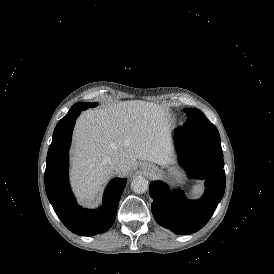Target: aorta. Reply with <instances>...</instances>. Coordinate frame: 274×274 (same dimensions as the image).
<instances>
[{
  "label": "aorta",
  "instance_id": "aorta-1",
  "mask_svg": "<svg viewBox=\"0 0 274 274\" xmlns=\"http://www.w3.org/2000/svg\"><path fill=\"white\" fill-rule=\"evenodd\" d=\"M148 187V180L142 176H137L133 178L131 182V189L137 194L145 193L148 190Z\"/></svg>",
  "mask_w": 274,
  "mask_h": 274
}]
</instances>
